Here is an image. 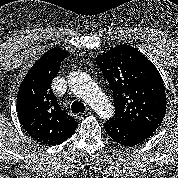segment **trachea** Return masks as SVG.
<instances>
[{
  "mask_svg": "<svg viewBox=\"0 0 178 178\" xmlns=\"http://www.w3.org/2000/svg\"><path fill=\"white\" fill-rule=\"evenodd\" d=\"M72 113H84L85 106L82 102L74 101L71 105Z\"/></svg>",
  "mask_w": 178,
  "mask_h": 178,
  "instance_id": "3493384b",
  "label": "trachea"
}]
</instances>
